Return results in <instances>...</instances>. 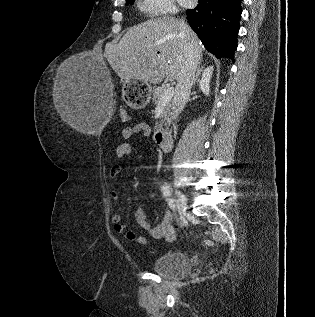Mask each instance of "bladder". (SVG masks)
<instances>
[{"mask_svg":"<svg viewBox=\"0 0 315 317\" xmlns=\"http://www.w3.org/2000/svg\"><path fill=\"white\" fill-rule=\"evenodd\" d=\"M191 269L188 256L181 252H168L156 257L152 263V270L169 278L186 276Z\"/></svg>","mask_w":315,"mask_h":317,"instance_id":"obj_1","label":"bladder"}]
</instances>
